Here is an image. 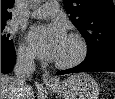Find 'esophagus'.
Instances as JSON below:
<instances>
[{
  "label": "esophagus",
  "instance_id": "esophagus-1",
  "mask_svg": "<svg viewBox=\"0 0 115 99\" xmlns=\"http://www.w3.org/2000/svg\"><path fill=\"white\" fill-rule=\"evenodd\" d=\"M42 81L46 84L56 83V80L49 73H43L42 74Z\"/></svg>",
  "mask_w": 115,
  "mask_h": 99
}]
</instances>
